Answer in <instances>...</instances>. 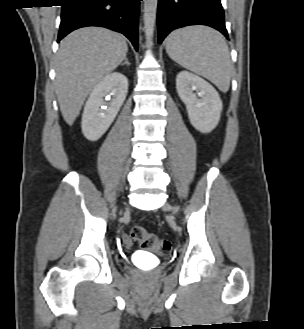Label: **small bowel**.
<instances>
[{"label":"small bowel","mask_w":304,"mask_h":329,"mask_svg":"<svg viewBox=\"0 0 304 329\" xmlns=\"http://www.w3.org/2000/svg\"><path fill=\"white\" fill-rule=\"evenodd\" d=\"M124 242L128 245L130 244V240L127 237H124Z\"/></svg>","instance_id":"small-bowel-1"}]
</instances>
